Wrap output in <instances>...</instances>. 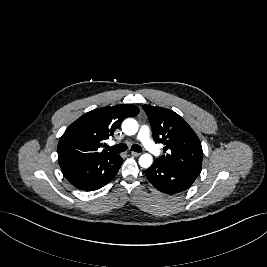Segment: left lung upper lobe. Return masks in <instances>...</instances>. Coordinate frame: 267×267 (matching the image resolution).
I'll list each match as a JSON object with an SVG mask.
<instances>
[{
	"label": "left lung upper lobe",
	"mask_w": 267,
	"mask_h": 267,
	"mask_svg": "<svg viewBox=\"0 0 267 267\" xmlns=\"http://www.w3.org/2000/svg\"><path fill=\"white\" fill-rule=\"evenodd\" d=\"M142 107L149 118L154 140L164 144V155L155 161L198 177L202 168L203 151L192 128L172 110L150 105Z\"/></svg>",
	"instance_id": "left-lung-upper-lobe-1"
}]
</instances>
